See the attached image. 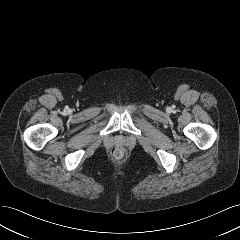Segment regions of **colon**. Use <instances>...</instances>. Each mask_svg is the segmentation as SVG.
<instances>
[{"label": "colon", "instance_id": "colon-1", "mask_svg": "<svg viewBox=\"0 0 240 240\" xmlns=\"http://www.w3.org/2000/svg\"><path fill=\"white\" fill-rule=\"evenodd\" d=\"M111 155L114 159H117V160H120L124 157L125 155V151L123 148L121 147H114L112 150H111Z\"/></svg>", "mask_w": 240, "mask_h": 240}]
</instances>
